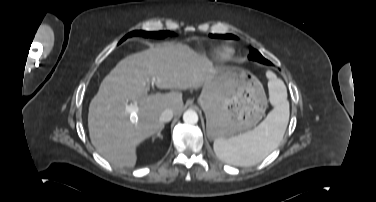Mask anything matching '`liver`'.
I'll return each mask as SVG.
<instances>
[{
	"instance_id": "1",
	"label": "liver",
	"mask_w": 376,
	"mask_h": 202,
	"mask_svg": "<svg viewBox=\"0 0 376 202\" xmlns=\"http://www.w3.org/2000/svg\"><path fill=\"white\" fill-rule=\"evenodd\" d=\"M213 63L183 44L164 43L122 59L103 79L89 105L88 128L98 153L117 167H133L136 147L158 132L161 113L180 114L181 92L147 94L152 82L159 89H199ZM135 106L127 110L128 102Z\"/></svg>"
}]
</instances>
